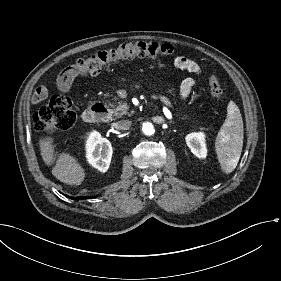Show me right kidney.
I'll return each mask as SVG.
<instances>
[{"label": "right kidney", "mask_w": 281, "mask_h": 281, "mask_svg": "<svg viewBox=\"0 0 281 281\" xmlns=\"http://www.w3.org/2000/svg\"><path fill=\"white\" fill-rule=\"evenodd\" d=\"M86 159L90 165L100 172H106L112 158L111 143L95 130L88 133L86 142Z\"/></svg>", "instance_id": "obj_1"}]
</instances>
